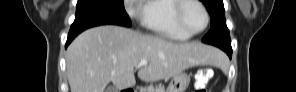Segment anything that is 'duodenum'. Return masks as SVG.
Returning <instances> with one entry per match:
<instances>
[{
	"instance_id": "obj_1",
	"label": "duodenum",
	"mask_w": 296,
	"mask_h": 92,
	"mask_svg": "<svg viewBox=\"0 0 296 92\" xmlns=\"http://www.w3.org/2000/svg\"><path fill=\"white\" fill-rule=\"evenodd\" d=\"M135 91L136 90L134 88H132V87L126 88V89L123 90V92H135Z\"/></svg>"
}]
</instances>
